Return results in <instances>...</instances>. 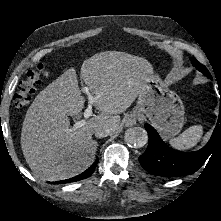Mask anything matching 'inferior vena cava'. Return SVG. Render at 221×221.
<instances>
[{
	"mask_svg": "<svg viewBox=\"0 0 221 221\" xmlns=\"http://www.w3.org/2000/svg\"><path fill=\"white\" fill-rule=\"evenodd\" d=\"M111 134H112V129L111 128L100 127V128H97L95 130V136L97 138L107 137V136H109Z\"/></svg>",
	"mask_w": 221,
	"mask_h": 221,
	"instance_id": "602c4592",
	"label": "inferior vena cava"
}]
</instances>
